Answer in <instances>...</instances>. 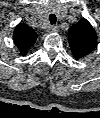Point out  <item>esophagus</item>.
<instances>
[{"label": "esophagus", "instance_id": "obj_1", "mask_svg": "<svg viewBox=\"0 0 100 118\" xmlns=\"http://www.w3.org/2000/svg\"><path fill=\"white\" fill-rule=\"evenodd\" d=\"M58 27L57 26H54V25H52V26H49L48 28H47V32H49V33H54V32H58Z\"/></svg>", "mask_w": 100, "mask_h": 118}]
</instances>
